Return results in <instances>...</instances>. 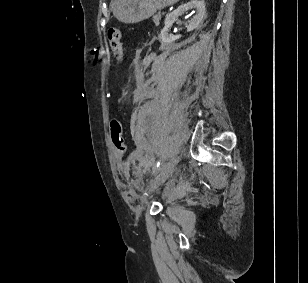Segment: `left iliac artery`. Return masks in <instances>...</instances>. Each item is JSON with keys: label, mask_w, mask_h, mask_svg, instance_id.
Returning <instances> with one entry per match:
<instances>
[{"label": "left iliac artery", "mask_w": 308, "mask_h": 283, "mask_svg": "<svg viewBox=\"0 0 308 283\" xmlns=\"http://www.w3.org/2000/svg\"><path fill=\"white\" fill-rule=\"evenodd\" d=\"M159 166H160V161H158V162L156 163V167H155V169H158V168H159Z\"/></svg>", "instance_id": "1"}]
</instances>
